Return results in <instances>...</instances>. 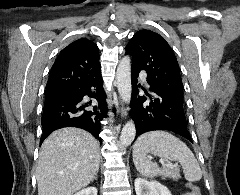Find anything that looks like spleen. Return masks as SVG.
<instances>
[{
  "instance_id": "3e777b00",
  "label": "spleen",
  "mask_w": 240,
  "mask_h": 195,
  "mask_svg": "<svg viewBox=\"0 0 240 195\" xmlns=\"http://www.w3.org/2000/svg\"><path fill=\"white\" fill-rule=\"evenodd\" d=\"M152 151L153 155L180 161L185 179L188 181H199L202 177L201 167L191 149L184 141L175 137L169 131H146L137 137L133 145V161L136 169L145 177H156L163 173L162 167L148 159L147 153Z\"/></svg>"
}]
</instances>
